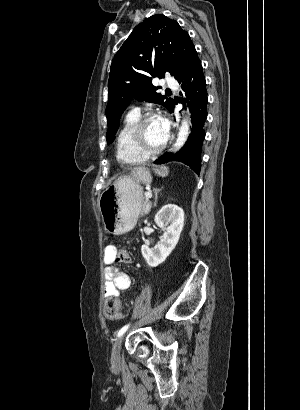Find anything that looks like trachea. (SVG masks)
<instances>
[{"label":"trachea","mask_w":300,"mask_h":410,"mask_svg":"<svg viewBox=\"0 0 300 410\" xmlns=\"http://www.w3.org/2000/svg\"><path fill=\"white\" fill-rule=\"evenodd\" d=\"M166 92H171L170 90H166Z\"/></svg>","instance_id":"1"}]
</instances>
